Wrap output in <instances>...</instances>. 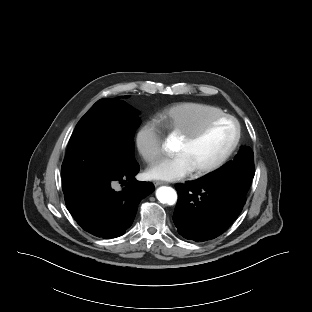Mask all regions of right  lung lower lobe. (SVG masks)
I'll return each mask as SVG.
<instances>
[{
  "mask_svg": "<svg viewBox=\"0 0 312 312\" xmlns=\"http://www.w3.org/2000/svg\"><path fill=\"white\" fill-rule=\"evenodd\" d=\"M138 172L135 161L122 172L64 194L67 209L82 229L92 235L109 239L124 234L135 218L139 202L154 190L152 183L134 178ZM115 181H128V185L117 192L113 189Z\"/></svg>",
  "mask_w": 312,
  "mask_h": 312,
  "instance_id": "right-lung-lower-lobe-1",
  "label": "right lung lower lobe"
}]
</instances>
